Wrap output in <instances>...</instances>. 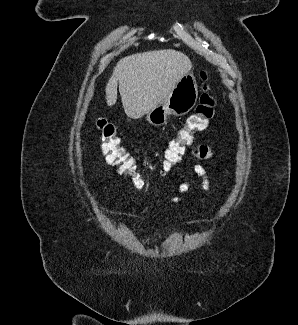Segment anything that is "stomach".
Here are the masks:
<instances>
[{"instance_id": "obj_1", "label": "stomach", "mask_w": 298, "mask_h": 325, "mask_svg": "<svg viewBox=\"0 0 298 325\" xmlns=\"http://www.w3.org/2000/svg\"><path fill=\"white\" fill-rule=\"evenodd\" d=\"M198 84L194 72H187L181 76L171 92L167 94L162 104H157L146 112V120L155 126H161L167 122L169 114L182 116L187 114L195 106L198 98Z\"/></svg>"}]
</instances>
